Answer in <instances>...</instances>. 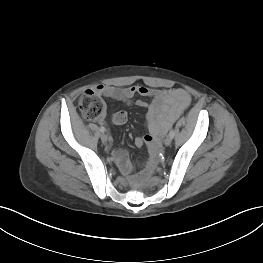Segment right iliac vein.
I'll return each mask as SVG.
<instances>
[{
    "mask_svg": "<svg viewBox=\"0 0 263 263\" xmlns=\"http://www.w3.org/2000/svg\"><path fill=\"white\" fill-rule=\"evenodd\" d=\"M100 137H101V141L103 143L107 142V135L106 134L102 133Z\"/></svg>",
    "mask_w": 263,
    "mask_h": 263,
    "instance_id": "63e3f726",
    "label": "right iliac vein"
}]
</instances>
